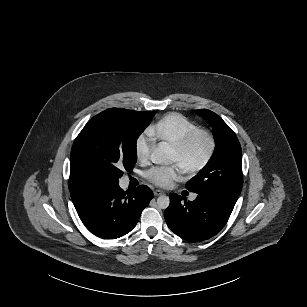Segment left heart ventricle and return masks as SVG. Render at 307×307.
Here are the masks:
<instances>
[{
	"label": "left heart ventricle",
	"mask_w": 307,
	"mask_h": 307,
	"mask_svg": "<svg viewBox=\"0 0 307 307\" xmlns=\"http://www.w3.org/2000/svg\"><path fill=\"white\" fill-rule=\"evenodd\" d=\"M205 150L206 146L202 141L193 146L184 156H180L170 150L166 157V163L175 162L181 164L183 167H187L197 163L202 158Z\"/></svg>",
	"instance_id": "obj_1"
}]
</instances>
